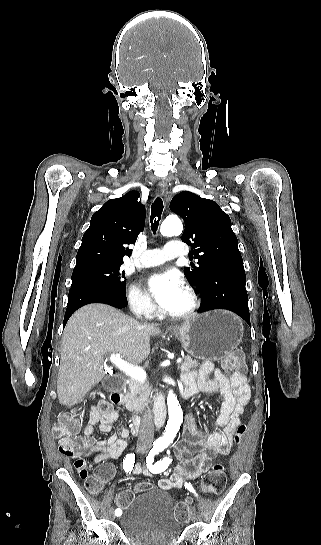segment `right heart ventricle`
I'll return each instance as SVG.
<instances>
[{"label":"right heart ventricle","mask_w":321,"mask_h":545,"mask_svg":"<svg viewBox=\"0 0 321 545\" xmlns=\"http://www.w3.org/2000/svg\"><path fill=\"white\" fill-rule=\"evenodd\" d=\"M158 315H159V316H162V315H163V312H162V311H160V312L158 313Z\"/></svg>","instance_id":"obj_1"}]
</instances>
